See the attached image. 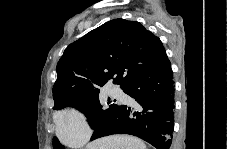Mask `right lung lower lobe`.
<instances>
[{"instance_id":"1","label":"right lung lower lobe","mask_w":227,"mask_h":149,"mask_svg":"<svg viewBox=\"0 0 227 149\" xmlns=\"http://www.w3.org/2000/svg\"><path fill=\"white\" fill-rule=\"evenodd\" d=\"M136 107L122 105L94 129L91 140L112 134L137 136L157 149H169L174 130V82L171 64L166 59L148 73L123 87Z\"/></svg>"}]
</instances>
